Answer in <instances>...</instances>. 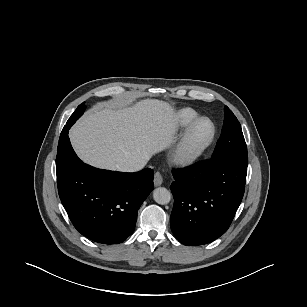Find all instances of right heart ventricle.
Masks as SVG:
<instances>
[{"mask_svg": "<svg viewBox=\"0 0 307 307\" xmlns=\"http://www.w3.org/2000/svg\"><path fill=\"white\" fill-rule=\"evenodd\" d=\"M198 118L199 115L195 110L184 108L176 113L175 124L178 129H186Z\"/></svg>", "mask_w": 307, "mask_h": 307, "instance_id": "obj_1", "label": "right heart ventricle"}]
</instances>
